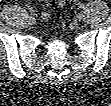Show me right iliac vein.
<instances>
[{
	"instance_id": "obj_1",
	"label": "right iliac vein",
	"mask_w": 111,
	"mask_h": 106,
	"mask_svg": "<svg viewBox=\"0 0 111 106\" xmlns=\"http://www.w3.org/2000/svg\"><path fill=\"white\" fill-rule=\"evenodd\" d=\"M28 22L30 25H34L36 23V18L34 15L29 16Z\"/></svg>"
}]
</instances>
